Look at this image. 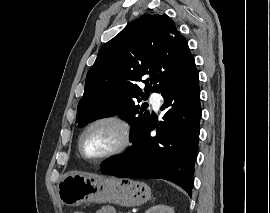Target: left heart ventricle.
Returning a JSON list of instances; mask_svg holds the SVG:
<instances>
[{
	"label": "left heart ventricle",
	"mask_w": 270,
	"mask_h": 213,
	"mask_svg": "<svg viewBox=\"0 0 270 213\" xmlns=\"http://www.w3.org/2000/svg\"><path fill=\"white\" fill-rule=\"evenodd\" d=\"M120 140L121 134L117 127L111 124H99L86 133L83 149L88 156L96 158L115 148Z\"/></svg>",
	"instance_id": "left-heart-ventricle-1"
}]
</instances>
